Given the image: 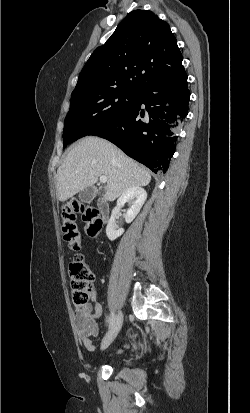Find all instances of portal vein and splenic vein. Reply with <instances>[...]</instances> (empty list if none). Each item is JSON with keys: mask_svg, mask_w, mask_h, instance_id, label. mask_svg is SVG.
Listing matches in <instances>:
<instances>
[{"mask_svg": "<svg viewBox=\"0 0 250 413\" xmlns=\"http://www.w3.org/2000/svg\"><path fill=\"white\" fill-rule=\"evenodd\" d=\"M100 182L101 183H106L107 182L106 176H100Z\"/></svg>", "mask_w": 250, "mask_h": 413, "instance_id": "18ae733b", "label": "portal vein and splenic vein"}]
</instances>
